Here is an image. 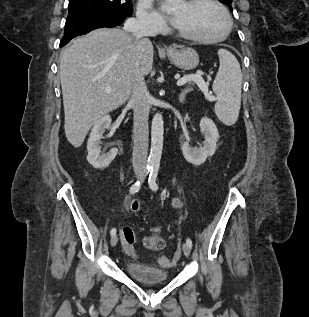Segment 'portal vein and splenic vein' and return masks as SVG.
<instances>
[{
  "label": "portal vein and splenic vein",
  "instance_id": "18ae733b",
  "mask_svg": "<svg viewBox=\"0 0 309 317\" xmlns=\"http://www.w3.org/2000/svg\"><path fill=\"white\" fill-rule=\"evenodd\" d=\"M189 81H194L204 93H206L208 91L207 84L205 83V81L203 80V78L201 76V71H197V74H195V75H189V76H186V77L179 79L177 81V85L182 86ZM105 92L109 93L110 89L107 88L105 90Z\"/></svg>",
  "mask_w": 309,
  "mask_h": 317
}]
</instances>
